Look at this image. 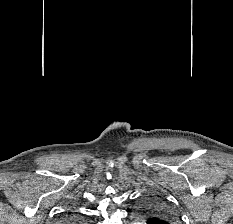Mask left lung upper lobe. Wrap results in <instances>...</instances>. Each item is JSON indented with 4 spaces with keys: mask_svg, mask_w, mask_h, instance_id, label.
Listing matches in <instances>:
<instances>
[{
    "mask_svg": "<svg viewBox=\"0 0 233 224\" xmlns=\"http://www.w3.org/2000/svg\"><path fill=\"white\" fill-rule=\"evenodd\" d=\"M137 213L146 219L147 224H178L175 210L158 195H147L140 200Z\"/></svg>",
    "mask_w": 233,
    "mask_h": 224,
    "instance_id": "5c2ea615",
    "label": "left lung upper lobe"
}]
</instances>
